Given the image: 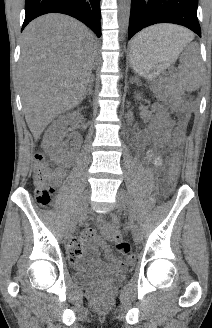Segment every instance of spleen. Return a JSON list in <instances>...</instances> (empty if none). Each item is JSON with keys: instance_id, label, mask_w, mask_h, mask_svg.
Masks as SVG:
<instances>
[{"instance_id": "1", "label": "spleen", "mask_w": 212, "mask_h": 328, "mask_svg": "<svg viewBox=\"0 0 212 328\" xmlns=\"http://www.w3.org/2000/svg\"><path fill=\"white\" fill-rule=\"evenodd\" d=\"M148 29L142 31L135 37V44H140V48H136L134 45L136 50L145 48L152 42L159 41L155 40V37L148 33ZM180 61L182 63L181 71L176 76L178 85L187 91L197 90L202 83V71L199 62L197 43H193L186 49Z\"/></svg>"}]
</instances>
